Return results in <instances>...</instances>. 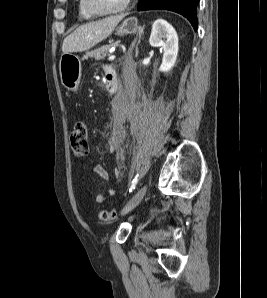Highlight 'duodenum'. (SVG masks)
I'll use <instances>...</instances> for the list:
<instances>
[{"label": "duodenum", "instance_id": "1", "mask_svg": "<svg viewBox=\"0 0 267 298\" xmlns=\"http://www.w3.org/2000/svg\"><path fill=\"white\" fill-rule=\"evenodd\" d=\"M106 80H107V88L111 92L119 91V78L116 70L113 67H110L106 71Z\"/></svg>", "mask_w": 267, "mask_h": 298}]
</instances>
